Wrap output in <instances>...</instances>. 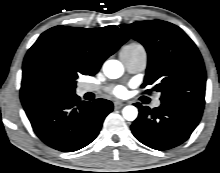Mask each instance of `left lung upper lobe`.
<instances>
[{"label": "left lung upper lobe", "instance_id": "obj_1", "mask_svg": "<svg viewBox=\"0 0 220 173\" xmlns=\"http://www.w3.org/2000/svg\"><path fill=\"white\" fill-rule=\"evenodd\" d=\"M120 26L147 50L148 65L142 88L155 85L153 90L161 93V101L204 108V63L198 48L182 29L162 20Z\"/></svg>", "mask_w": 220, "mask_h": 173}]
</instances>
